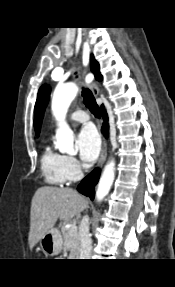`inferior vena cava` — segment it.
<instances>
[{"instance_id":"inferior-vena-cava-1","label":"inferior vena cava","mask_w":175,"mask_h":287,"mask_svg":"<svg viewBox=\"0 0 175 287\" xmlns=\"http://www.w3.org/2000/svg\"><path fill=\"white\" fill-rule=\"evenodd\" d=\"M80 259H90L92 241L89 234V218L85 215L82 218L79 230Z\"/></svg>"}]
</instances>
